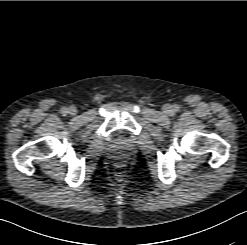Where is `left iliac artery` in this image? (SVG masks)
<instances>
[{
    "label": "left iliac artery",
    "instance_id": "obj_1",
    "mask_svg": "<svg viewBox=\"0 0 247 245\" xmlns=\"http://www.w3.org/2000/svg\"><path fill=\"white\" fill-rule=\"evenodd\" d=\"M177 109H178V107L175 106L173 110H174V111H177Z\"/></svg>",
    "mask_w": 247,
    "mask_h": 245
}]
</instances>
